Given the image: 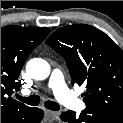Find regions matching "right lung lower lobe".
I'll return each mask as SVG.
<instances>
[{"mask_svg":"<svg viewBox=\"0 0 123 123\" xmlns=\"http://www.w3.org/2000/svg\"><path fill=\"white\" fill-rule=\"evenodd\" d=\"M44 112L39 108L26 107L14 110L1 118V123H40Z\"/></svg>","mask_w":123,"mask_h":123,"instance_id":"1","label":"right lung lower lobe"}]
</instances>
